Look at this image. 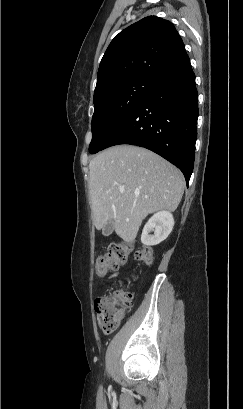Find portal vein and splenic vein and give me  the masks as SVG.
Returning a JSON list of instances; mask_svg holds the SVG:
<instances>
[{"instance_id":"obj_1","label":"portal vein and splenic vein","mask_w":243,"mask_h":409,"mask_svg":"<svg viewBox=\"0 0 243 409\" xmlns=\"http://www.w3.org/2000/svg\"><path fill=\"white\" fill-rule=\"evenodd\" d=\"M120 192H121V193H123V192H124V190L122 189V190H120Z\"/></svg>"}]
</instances>
